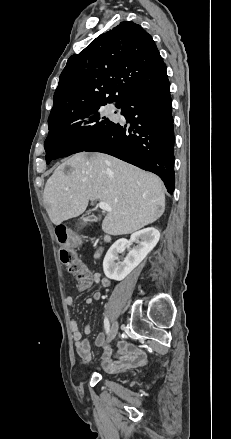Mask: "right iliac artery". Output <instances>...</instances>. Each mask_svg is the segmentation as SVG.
Returning <instances> with one entry per match:
<instances>
[{"instance_id": "1", "label": "right iliac artery", "mask_w": 231, "mask_h": 439, "mask_svg": "<svg viewBox=\"0 0 231 439\" xmlns=\"http://www.w3.org/2000/svg\"><path fill=\"white\" fill-rule=\"evenodd\" d=\"M104 327H105L106 333L108 334L109 329H110V324H109V320L107 317H105V319H104Z\"/></svg>"}]
</instances>
